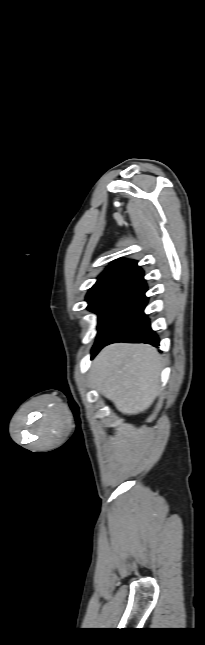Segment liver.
Wrapping results in <instances>:
<instances>
[{
	"label": "liver",
	"mask_w": 205,
	"mask_h": 645,
	"mask_svg": "<svg viewBox=\"0 0 205 645\" xmlns=\"http://www.w3.org/2000/svg\"><path fill=\"white\" fill-rule=\"evenodd\" d=\"M162 358L147 344L117 343L94 359L90 382L118 411L136 415L146 411L160 390Z\"/></svg>",
	"instance_id": "liver-1"
}]
</instances>
